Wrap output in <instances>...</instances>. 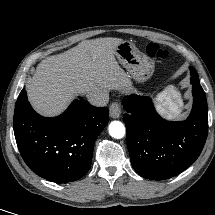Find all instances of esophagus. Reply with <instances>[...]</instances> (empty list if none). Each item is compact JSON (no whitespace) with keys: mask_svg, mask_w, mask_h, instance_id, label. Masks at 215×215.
<instances>
[{"mask_svg":"<svg viewBox=\"0 0 215 215\" xmlns=\"http://www.w3.org/2000/svg\"><path fill=\"white\" fill-rule=\"evenodd\" d=\"M109 114L111 118H119L121 115V106L118 102H112L109 107Z\"/></svg>","mask_w":215,"mask_h":215,"instance_id":"34e87169","label":"esophagus"}]
</instances>
